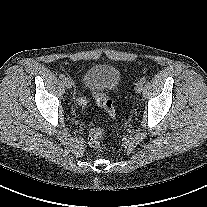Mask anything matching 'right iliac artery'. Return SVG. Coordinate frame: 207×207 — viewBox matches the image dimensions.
<instances>
[{
	"instance_id": "82829eb1",
	"label": "right iliac artery",
	"mask_w": 207,
	"mask_h": 207,
	"mask_svg": "<svg viewBox=\"0 0 207 207\" xmlns=\"http://www.w3.org/2000/svg\"><path fill=\"white\" fill-rule=\"evenodd\" d=\"M59 78L62 79V80H64L66 77H65L64 74H60Z\"/></svg>"
}]
</instances>
